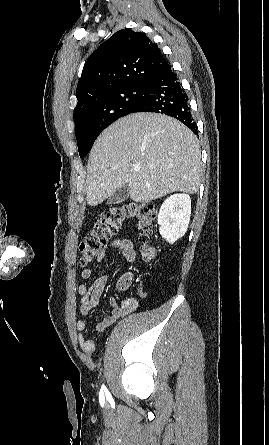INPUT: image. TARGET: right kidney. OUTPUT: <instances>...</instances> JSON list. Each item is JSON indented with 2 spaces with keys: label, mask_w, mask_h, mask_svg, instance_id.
<instances>
[{
  "label": "right kidney",
  "mask_w": 269,
  "mask_h": 445,
  "mask_svg": "<svg viewBox=\"0 0 269 445\" xmlns=\"http://www.w3.org/2000/svg\"><path fill=\"white\" fill-rule=\"evenodd\" d=\"M191 215V199L187 194H174L162 204L158 214L159 232L169 243L183 237Z\"/></svg>",
  "instance_id": "1"
}]
</instances>
